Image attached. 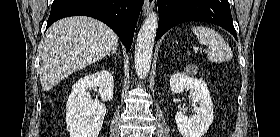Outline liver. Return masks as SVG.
I'll list each match as a JSON object with an SVG mask.
<instances>
[{"instance_id":"1","label":"liver","mask_w":280,"mask_h":137,"mask_svg":"<svg viewBox=\"0 0 280 137\" xmlns=\"http://www.w3.org/2000/svg\"><path fill=\"white\" fill-rule=\"evenodd\" d=\"M117 35L104 23L85 16L54 23L42 43L40 81L48 91L72 73L117 48Z\"/></svg>"}]
</instances>
